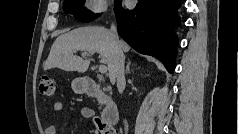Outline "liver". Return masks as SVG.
<instances>
[{"mask_svg":"<svg viewBox=\"0 0 239 134\" xmlns=\"http://www.w3.org/2000/svg\"><path fill=\"white\" fill-rule=\"evenodd\" d=\"M119 48L128 52L130 46L118 41ZM115 43L111 31L104 27H81L62 34L54 41L49 56L44 64V70L59 68L65 71L86 72L90 60L74 55L76 50L89 54L99 53L100 62L107 64L111 83H115L112 73Z\"/></svg>","mask_w":239,"mask_h":134,"instance_id":"obj_1","label":"liver"}]
</instances>
